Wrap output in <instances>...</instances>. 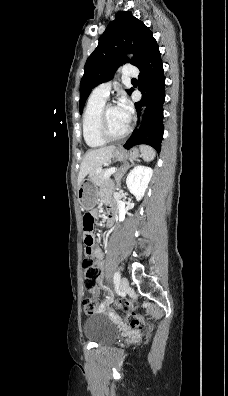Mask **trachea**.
<instances>
[{"label": "trachea", "instance_id": "obj_1", "mask_svg": "<svg viewBox=\"0 0 228 396\" xmlns=\"http://www.w3.org/2000/svg\"><path fill=\"white\" fill-rule=\"evenodd\" d=\"M131 81H137L135 78H133Z\"/></svg>", "mask_w": 228, "mask_h": 396}]
</instances>
